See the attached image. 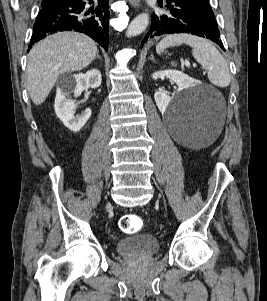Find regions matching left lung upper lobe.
<instances>
[{"mask_svg": "<svg viewBox=\"0 0 267 301\" xmlns=\"http://www.w3.org/2000/svg\"><path fill=\"white\" fill-rule=\"evenodd\" d=\"M187 1L196 4L200 9L204 10L209 15L214 16V13L211 9L208 0H187Z\"/></svg>", "mask_w": 267, "mask_h": 301, "instance_id": "left-lung-upper-lobe-1", "label": "left lung upper lobe"}]
</instances>
